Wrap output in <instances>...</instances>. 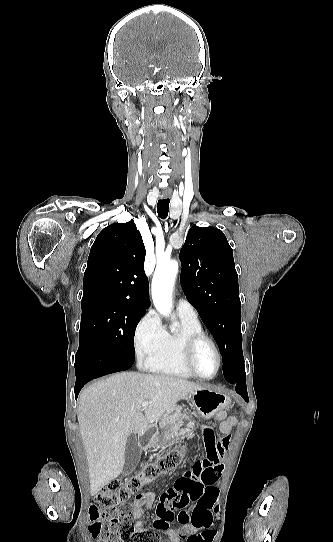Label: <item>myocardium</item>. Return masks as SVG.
Returning <instances> with one entry per match:
<instances>
[{"label":"myocardium","instance_id":"obj_1","mask_svg":"<svg viewBox=\"0 0 333 542\" xmlns=\"http://www.w3.org/2000/svg\"><path fill=\"white\" fill-rule=\"evenodd\" d=\"M202 343H208L213 349L216 356L217 368L214 374L211 376H203L199 374L193 364L194 354L197 348ZM182 361H183L184 367L192 376L200 378V379H205V380L213 379L219 373L221 369V364H222L221 353L218 349V346L216 345L213 339H211L205 334L193 335V336L188 337L184 341L183 348H182Z\"/></svg>","mask_w":333,"mask_h":542}]
</instances>
